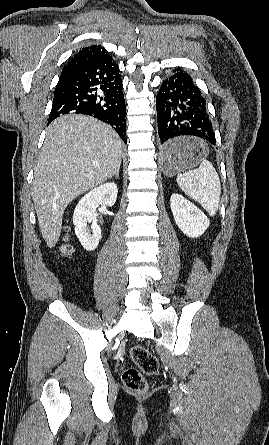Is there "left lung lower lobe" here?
<instances>
[{
  "mask_svg": "<svg viewBox=\"0 0 269 445\" xmlns=\"http://www.w3.org/2000/svg\"><path fill=\"white\" fill-rule=\"evenodd\" d=\"M163 80L156 97L158 132L162 152L180 150L181 137H195L215 144V133L204 99L190 75L180 68Z\"/></svg>",
  "mask_w": 269,
  "mask_h": 445,
  "instance_id": "obj_1",
  "label": "left lung lower lobe"
}]
</instances>
